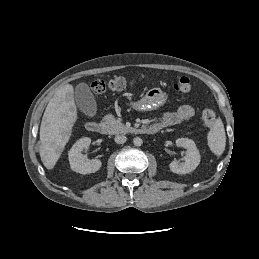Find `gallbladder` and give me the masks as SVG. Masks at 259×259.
Here are the masks:
<instances>
[{"instance_id":"bac80fb5","label":"gallbladder","mask_w":259,"mask_h":259,"mask_svg":"<svg viewBox=\"0 0 259 259\" xmlns=\"http://www.w3.org/2000/svg\"><path fill=\"white\" fill-rule=\"evenodd\" d=\"M75 102L78 108L88 117L97 113V104L90 87L86 83H79L75 88Z\"/></svg>"}]
</instances>
